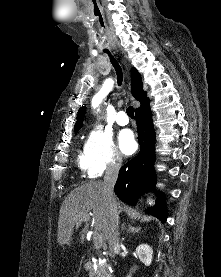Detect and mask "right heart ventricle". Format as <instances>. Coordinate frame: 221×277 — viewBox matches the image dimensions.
Listing matches in <instances>:
<instances>
[{
	"label": "right heart ventricle",
	"instance_id": "right-heart-ventricle-1",
	"mask_svg": "<svg viewBox=\"0 0 221 277\" xmlns=\"http://www.w3.org/2000/svg\"><path fill=\"white\" fill-rule=\"evenodd\" d=\"M78 164L82 169H86L85 157L83 154H80L77 158Z\"/></svg>",
	"mask_w": 221,
	"mask_h": 277
}]
</instances>
